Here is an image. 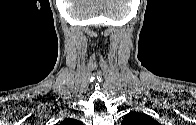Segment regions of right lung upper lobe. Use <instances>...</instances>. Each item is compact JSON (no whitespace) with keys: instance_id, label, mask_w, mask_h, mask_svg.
<instances>
[{"instance_id":"1","label":"right lung upper lobe","mask_w":196,"mask_h":125,"mask_svg":"<svg viewBox=\"0 0 196 125\" xmlns=\"http://www.w3.org/2000/svg\"><path fill=\"white\" fill-rule=\"evenodd\" d=\"M70 122H73V120H70V119H65L62 124H66V123H70Z\"/></svg>"}]
</instances>
